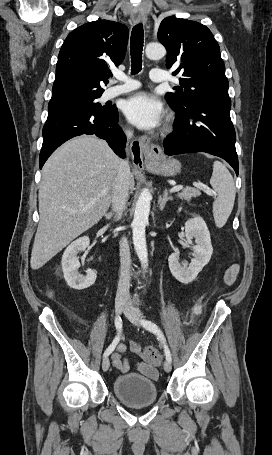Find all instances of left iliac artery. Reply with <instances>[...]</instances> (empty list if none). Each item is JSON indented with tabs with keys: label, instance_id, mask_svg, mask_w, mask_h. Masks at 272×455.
Here are the masks:
<instances>
[{
	"label": "left iliac artery",
	"instance_id": "left-iliac-artery-1",
	"mask_svg": "<svg viewBox=\"0 0 272 455\" xmlns=\"http://www.w3.org/2000/svg\"><path fill=\"white\" fill-rule=\"evenodd\" d=\"M141 324L143 325L144 328H146L147 330H149V331L153 332L154 334H156L158 336V338L161 341H163L166 360L171 362L172 361L171 353H170V350H169V348H168V346H167V344L165 342L164 335L161 332L160 328L155 323H153L151 321H148V320H141Z\"/></svg>",
	"mask_w": 272,
	"mask_h": 455
}]
</instances>
